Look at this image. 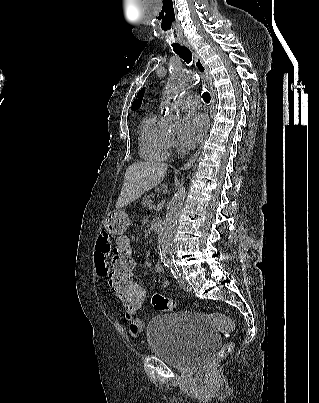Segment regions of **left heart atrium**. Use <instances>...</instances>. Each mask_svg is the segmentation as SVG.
Instances as JSON below:
<instances>
[{
	"instance_id": "obj_1",
	"label": "left heart atrium",
	"mask_w": 319,
	"mask_h": 403,
	"mask_svg": "<svg viewBox=\"0 0 319 403\" xmlns=\"http://www.w3.org/2000/svg\"><path fill=\"white\" fill-rule=\"evenodd\" d=\"M208 125L206 116L200 112L188 113L182 121L179 134L181 144L186 148L195 147L204 135Z\"/></svg>"
}]
</instances>
